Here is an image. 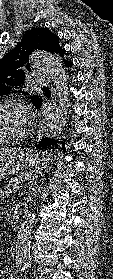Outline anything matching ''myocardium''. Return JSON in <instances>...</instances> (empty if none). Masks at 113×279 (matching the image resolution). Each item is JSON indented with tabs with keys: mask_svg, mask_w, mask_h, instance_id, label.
Instances as JSON below:
<instances>
[{
	"mask_svg": "<svg viewBox=\"0 0 113 279\" xmlns=\"http://www.w3.org/2000/svg\"><path fill=\"white\" fill-rule=\"evenodd\" d=\"M1 104H10L17 107H20L27 113V106L22 100L14 99V98H3L0 99V105ZM30 131L29 124L27 123L25 130L18 136L14 137H0V144H9V143H17L25 139Z\"/></svg>",
	"mask_w": 113,
	"mask_h": 279,
	"instance_id": "obj_1",
	"label": "myocardium"
}]
</instances>
